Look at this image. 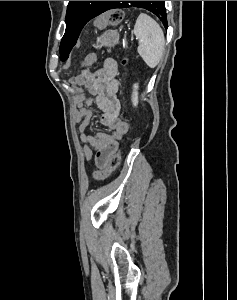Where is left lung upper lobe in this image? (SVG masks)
I'll return each instance as SVG.
<instances>
[{
	"label": "left lung upper lobe",
	"mask_w": 237,
	"mask_h": 300,
	"mask_svg": "<svg viewBox=\"0 0 237 300\" xmlns=\"http://www.w3.org/2000/svg\"><path fill=\"white\" fill-rule=\"evenodd\" d=\"M110 1H69L65 17L66 30L61 40L60 59L65 61L76 44L83 27L103 13ZM164 3V1H163ZM138 7L154 13L167 27L166 9H160V1H120V8Z\"/></svg>",
	"instance_id": "5c2ea615"
}]
</instances>
